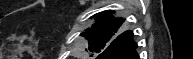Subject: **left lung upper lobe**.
I'll return each instance as SVG.
<instances>
[{"label":"left lung upper lobe","instance_id":"left-lung-upper-lobe-1","mask_svg":"<svg viewBox=\"0 0 193 59\" xmlns=\"http://www.w3.org/2000/svg\"><path fill=\"white\" fill-rule=\"evenodd\" d=\"M111 10L103 11L92 16L97 22L88 28L81 36L89 41L88 50L94 54H102L104 50L111 47L121 36L124 28V19L111 18ZM90 56H93L91 54Z\"/></svg>","mask_w":193,"mask_h":59}]
</instances>
